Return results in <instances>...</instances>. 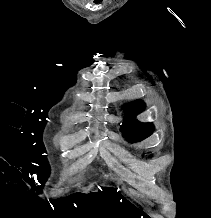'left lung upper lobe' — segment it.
<instances>
[{
    "instance_id": "5c2ea615",
    "label": "left lung upper lobe",
    "mask_w": 211,
    "mask_h": 218,
    "mask_svg": "<svg viewBox=\"0 0 211 218\" xmlns=\"http://www.w3.org/2000/svg\"><path fill=\"white\" fill-rule=\"evenodd\" d=\"M145 105L141 101H134L125 106V112L128 116L126 122L123 123L121 130L123 136L129 142L141 141L152 134L154 126L151 123H141L135 120V116L139 114Z\"/></svg>"
}]
</instances>
